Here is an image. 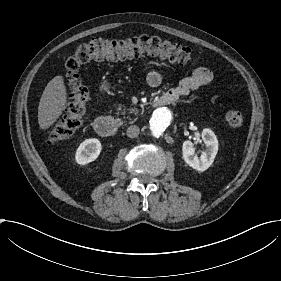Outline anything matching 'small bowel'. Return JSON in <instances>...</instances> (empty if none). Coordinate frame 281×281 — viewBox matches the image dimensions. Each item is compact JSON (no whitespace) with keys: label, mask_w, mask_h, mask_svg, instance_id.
<instances>
[{"label":"small bowel","mask_w":281,"mask_h":281,"mask_svg":"<svg viewBox=\"0 0 281 281\" xmlns=\"http://www.w3.org/2000/svg\"><path fill=\"white\" fill-rule=\"evenodd\" d=\"M147 83L151 88H157L162 83L161 74L150 69L147 73ZM212 74L206 68H196L192 75L182 79L170 92L166 93L162 98L155 97L149 103L151 105L160 106L162 102L170 104L182 97L187 96L191 91L200 89L208 85L211 81Z\"/></svg>","instance_id":"1"}]
</instances>
